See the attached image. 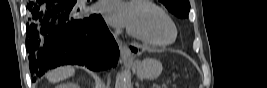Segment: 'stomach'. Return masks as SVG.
Masks as SVG:
<instances>
[{"mask_svg": "<svg viewBox=\"0 0 267 88\" xmlns=\"http://www.w3.org/2000/svg\"><path fill=\"white\" fill-rule=\"evenodd\" d=\"M132 71L143 79H156L162 72V64L153 58H146L142 62L128 64Z\"/></svg>", "mask_w": 267, "mask_h": 88, "instance_id": "1", "label": "stomach"}]
</instances>
